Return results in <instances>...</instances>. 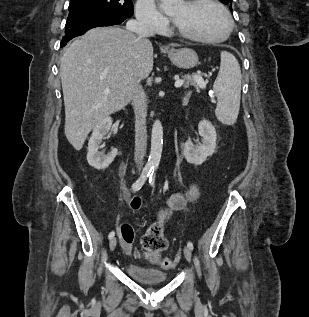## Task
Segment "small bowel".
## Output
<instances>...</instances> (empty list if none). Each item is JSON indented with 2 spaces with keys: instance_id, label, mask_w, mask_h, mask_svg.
<instances>
[{
  "instance_id": "small-bowel-1",
  "label": "small bowel",
  "mask_w": 309,
  "mask_h": 317,
  "mask_svg": "<svg viewBox=\"0 0 309 317\" xmlns=\"http://www.w3.org/2000/svg\"><path fill=\"white\" fill-rule=\"evenodd\" d=\"M199 190L196 186H192L185 193H174L165 199L166 207L161 209L158 217L161 221L169 218L170 214L174 211H184L189 202H193L198 198ZM130 250V249H128Z\"/></svg>"
}]
</instances>
